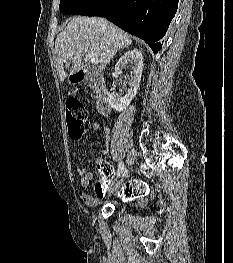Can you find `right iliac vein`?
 <instances>
[{"label":"right iliac vein","mask_w":233,"mask_h":263,"mask_svg":"<svg viewBox=\"0 0 233 263\" xmlns=\"http://www.w3.org/2000/svg\"><path fill=\"white\" fill-rule=\"evenodd\" d=\"M137 158V154L134 150H132L127 157V168L125 169V172L123 174V179L129 176L130 173V167L135 163ZM122 184V181L119 182L114 188H112L109 193H113L114 191H116L120 185Z\"/></svg>","instance_id":"63e3f726"}]
</instances>
